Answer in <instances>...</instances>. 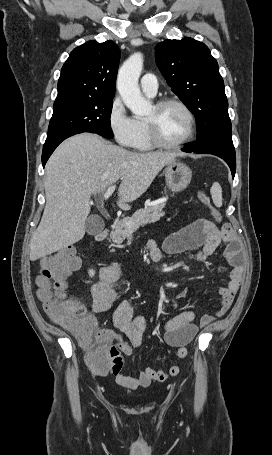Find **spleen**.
Masks as SVG:
<instances>
[{"instance_id":"obj_1","label":"spleen","mask_w":272,"mask_h":455,"mask_svg":"<svg viewBox=\"0 0 272 455\" xmlns=\"http://www.w3.org/2000/svg\"><path fill=\"white\" fill-rule=\"evenodd\" d=\"M210 193H211V196H212V199H213V203L215 204V206L221 207L222 206V202H223V199H222V188H221V185L218 182L213 183V185H212V187L210 189Z\"/></svg>"}]
</instances>
